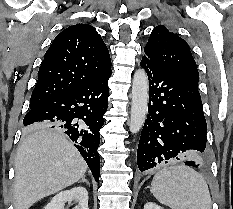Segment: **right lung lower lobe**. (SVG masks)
<instances>
[{
    "label": "right lung lower lobe",
    "mask_w": 233,
    "mask_h": 209,
    "mask_svg": "<svg viewBox=\"0 0 233 209\" xmlns=\"http://www.w3.org/2000/svg\"><path fill=\"white\" fill-rule=\"evenodd\" d=\"M110 76L111 71L96 81L31 108L23 120L24 126L47 123L62 129L75 142L96 181L100 174L99 131L108 107Z\"/></svg>",
    "instance_id": "1"
}]
</instances>
